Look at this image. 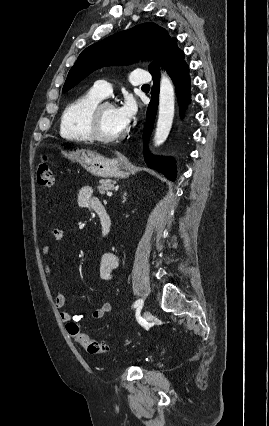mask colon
<instances>
[{
    "instance_id": "obj_1",
    "label": "colon",
    "mask_w": 269,
    "mask_h": 426,
    "mask_svg": "<svg viewBox=\"0 0 269 426\" xmlns=\"http://www.w3.org/2000/svg\"><path fill=\"white\" fill-rule=\"evenodd\" d=\"M37 181L40 187L50 189L54 184L53 172L47 156H42L37 165ZM67 328L71 336L82 345L90 354H104L109 350L106 343L92 340L87 334L80 331L75 322H69Z\"/></svg>"
}]
</instances>
